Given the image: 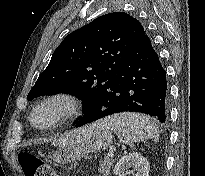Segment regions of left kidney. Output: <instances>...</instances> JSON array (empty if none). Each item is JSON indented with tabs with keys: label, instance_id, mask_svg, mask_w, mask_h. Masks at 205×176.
<instances>
[{
	"label": "left kidney",
	"instance_id": "1",
	"mask_svg": "<svg viewBox=\"0 0 205 176\" xmlns=\"http://www.w3.org/2000/svg\"><path fill=\"white\" fill-rule=\"evenodd\" d=\"M132 168L133 176H149L150 164L140 153L123 156L114 168L116 176H122L126 169Z\"/></svg>",
	"mask_w": 205,
	"mask_h": 176
}]
</instances>
